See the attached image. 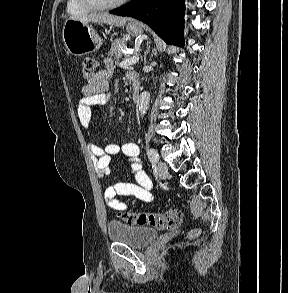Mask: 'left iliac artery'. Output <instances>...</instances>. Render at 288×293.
I'll use <instances>...</instances> for the list:
<instances>
[{"mask_svg":"<svg viewBox=\"0 0 288 293\" xmlns=\"http://www.w3.org/2000/svg\"><path fill=\"white\" fill-rule=\"evenodd\" d=\"M147 154H148V158H149L151 163L155 164L156 162H158L159 156H158L157 152L153 148H150L148 150Z\"/></svg>","mask_w":288,"mask_h":293,"instance_id":"left-iliac-artery-1","label":"left iliac artery"}]
</instances>
